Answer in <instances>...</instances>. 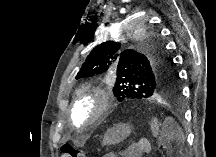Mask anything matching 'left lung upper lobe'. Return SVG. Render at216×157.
Instances as JSON below:
<instances>
[{
    "label": "left lung upper lobe",
    "mask_w": 216,
    "mask_h": 157,
    "mask_svg": "<svg viewBox=\"0 0 216 157\" xmlns=\"http://www.w3.org/2000/svg\"><path fill=\"white\" fill-rule=\"evenodd\" d=\"M138 27H118L121 35H111L97 45L82 64L76 79L105 72L116 74L113 87L118 101L176 97L179 76L166 52L159 31L152 23Z\"/></svg>",
    "instance_id": "obj_1"
}]
</instances>
